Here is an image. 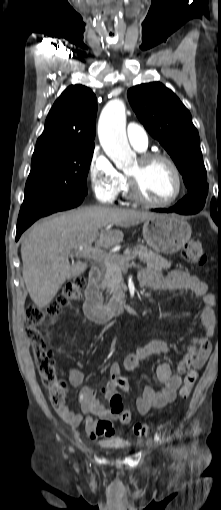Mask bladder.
<instances>
[{
	"label": "bladder",
	"mask_w": 221,
	"mask_h": 510,
	"mask_svg": "<svg viewBox=\"0 0 221 510\" xmlns=\"http://www.w3.org/2000/svg\"><path fill=\"white\" fill-rule=\"evenodd\" d=\"M106 447L108 448H112V449H123L125 448V446H123L122 444L120 443H117V442H108L105 444Z\"/></svg>",
	"instance_id": "obj_1"
}]
</instances>
